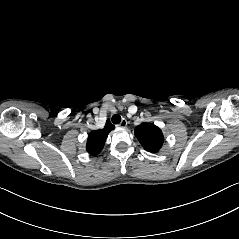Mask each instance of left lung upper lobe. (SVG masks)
Masks as SVG:
<instances>
[{"mask_svg":"<svg viewBox=\"0 0 239 239\" xmlns=\"http://www.w3.org/2000/svg\"><path fill=\"white\" fill-rule=\"evenodd\" d=\"M135 136L143 148L151 153L160 150L164 143V136L161 129L154 124L142 123L135 128Z\"/></svg>","mask_w":239,"mask_h":239,"instance_id":"5c2ea615","label":"left lung upper lobe"}]
</instances>
